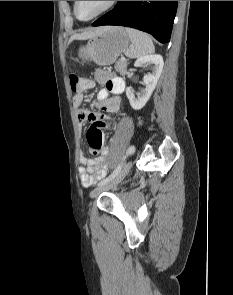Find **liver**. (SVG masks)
<instances>
[{"mask_svg":"<svg viewBox=\"0 0 233 295\" xmlns=\"http://www.w3.org/2000/svg\"><path fill=\"white\" fill-rule=\"evenodd\" d=\"M105 29V27H99L96 28L94 30H90L81 34H75L73 36H71V38L69 39V43L72 42L73 40H86V39H90L93 36L101 33L103 30Z\"/></svg>","mask_w":233,"mask_h":295,"instance_id":"obj_1","label":"liver"}]
</instances>
